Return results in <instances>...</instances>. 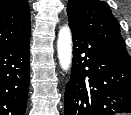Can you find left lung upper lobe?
<instances>
[{
  "label": "left lung upper lobe",
  "mask_w": 131,
  "mask_h": 115,
  "mask_svg": "<svg viewBox=\"0 0 131 115\" xmlns=\"http://www.w3.org/2000/svg\"><path fill=\"white\" fill-rule=\"evenodd\" d=\"M68 21L99 41L114 57L131 65L119 24L109 5L100 0H69Z\"/></svg>",
  "instance_id": "obj_1"
}]
</instances>
